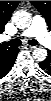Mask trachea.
Segmentation results:
<instances>
[{
  "instance_id": "obj_1",
  "label": "trachea",
  "mask_w": 51,
  "mask_h": 101,
  "mask_svg": "<svg viewBox=\"0 0 51 101\" xmlns=\"http://www.w3.org/2000/svg\"><path fill=\"white\" fill-rule=\"evenodd\" d=\"M6 43H7L6 45H8V46L17 47V46H19L21 44V41L19 39H14V40H11V41L6 42ZM28 44L34 46V45H36V41L29 40Z\"/></svg>"
}]
</instances>
